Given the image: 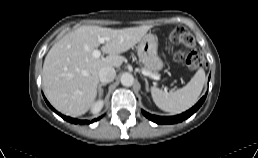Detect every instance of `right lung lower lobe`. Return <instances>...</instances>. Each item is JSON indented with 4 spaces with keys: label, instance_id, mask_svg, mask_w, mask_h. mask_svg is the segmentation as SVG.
<instances>
[{
    "label": "right lung lower lobe",
    "instance_id": "obj_1",
    "mask_svg": "<svg viewBox=\"0 0 258 158\" xmlns=\"http://www.w3.org/2000/svg\"><path fill=\"white\" fill-rule=\"evenodd\" d=\"M44 99H45V101H46V103L48 104V106L51 108V109H53L52 108V106L49 104V102L47 101V99L45 98V96H44ZM53 111H55L54 109H53ZM58 115H60L64 120H66V121H68V122H71V123H74V124H77V123H79V124H90V123H93V122H95V121H97V120H99L101 117H99V118H96V119H94V120H92V121H88V120H77V119H74V118H70V117H68V116H64V115H62V114H60V113H58L57 111H55Z\"/></svg>",
    "mask_w": 258,
    "mask_h": 158
}]
</instances>
